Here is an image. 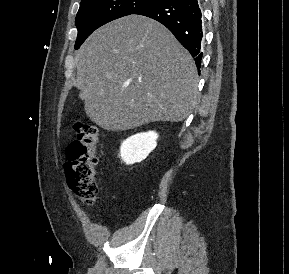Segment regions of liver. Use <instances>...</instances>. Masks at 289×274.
<instances>
[{
    "label": "liver",
    "mask_w": 289,
    "mask_h": 274,
    "mask_svg": "<svg viewBox=\"0 0 289 274\" xmlns=\"http://www.w3.org/2000/svg\"><path fill=\"white\" fill-rule=\"evenodd\" d=\"M77 86L88 118L108 131L179 122L195 107L198 77L190 53L160 23L140 15L94 31L76 53Z\"/></svg>",
    "instance_id": "obj_1"
}]
</instances>
